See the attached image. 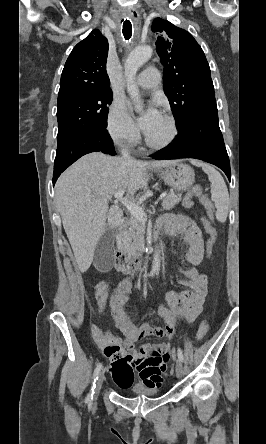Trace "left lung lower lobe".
I'll list each match as a JSON object with an SVG mask.
<instances>
[{"label": "left lung lower lobe", "instance_id": "obj_1", "mask_svg": "<svg viewBox=\"0 0 266 444\" xmlns=\"http://www.w3.org/2000/svg\"><path fill=\"white\" fill-rule=\"evenodd\" d=\"M179 136L156 160L196 158L214 164L231 179L229 157L218 123L217 108L196 111L181 122Z\"/></svg>", "mask_w": 266, "mask_h": 444}]
</instances>
